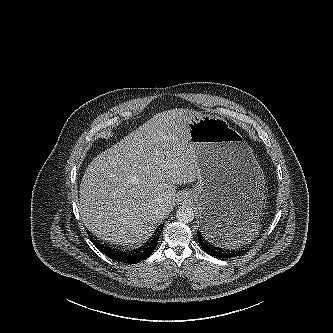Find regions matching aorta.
Wrapping results in <instances>:
<instances>
[{"mask_svg":"<svg viewBox=\"0 0 333 333\" xmlns=\"http://www.w3.org/2000/svg\"><path fill=\"white\" fill-rule=\"evenodd\" d=\"M176 218L183 223H190L194 219V210L187 205L180 206L176 211Z\"/></svg>","mask_w":333,"mask_h":333,"instance_id":"1","label":"aorta"}]
</instances>
